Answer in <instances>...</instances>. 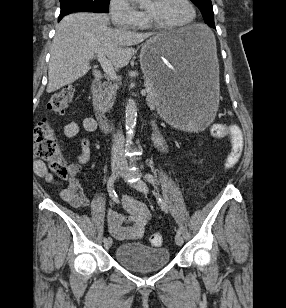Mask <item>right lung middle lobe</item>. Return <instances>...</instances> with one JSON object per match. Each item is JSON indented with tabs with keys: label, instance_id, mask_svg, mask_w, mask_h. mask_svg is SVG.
<instances>
[{
	"label": "right lung middle lobe",
	"instance_id": "obj_1",
	"mask_svg": "<svg viewBox=\"0 0 286 308\" xmlns=\"http://www.w3.org/2000/svg\"><path fill=\"white\" fill-rule=\"evenodd\" d=\"M110 0H60L61 13L71 12H108Z\"/></svg>",
	"mask_w": 286,
	"mask_h": 308
}]
</instances>
